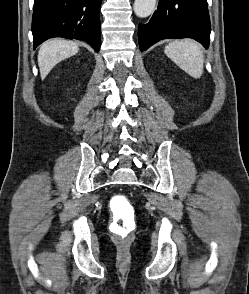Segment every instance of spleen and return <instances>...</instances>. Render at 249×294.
<instances>
[{"mask_svg": "<svg viewBox=\"0 0 249 294\" xmlns=\"http://www.w3.org/2000/svg\"><path fill=\"white\" fill-rule=\"evenodd\" d=\"M165 54L182 70L193 78H200L203 74L204 59L201 46L194 40L184 39L169 43Z\"/></svg>", "mask_w": 249, "mask_h": 294, "instance_id": "spleen-1", "label": "spleen"}]
</instances>
